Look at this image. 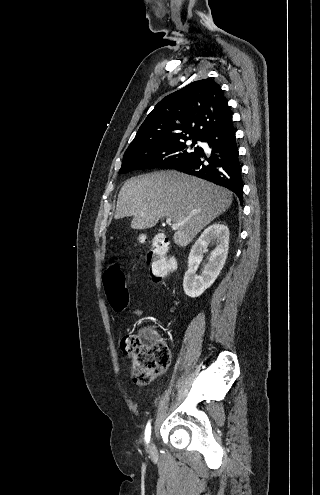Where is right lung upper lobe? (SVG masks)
<instances>
[{
    "label": "right lung upper lobe",
    "instance_id": "right-lung-upper-lobe-1",
    "mask_svg": "<svg viewBox=\"0 0 320 495\" xmlns=\"http://www.w3.org/2000/svg\"><path fill=\"white\" fill-rule=\"evenodd\" d=\"M232 116L220 85L207 78L164 97L148 114L128 149L200 138Z\"/></svg>",
    "mask_w": 320,
    "mask_h": 495
}]
</instances>
